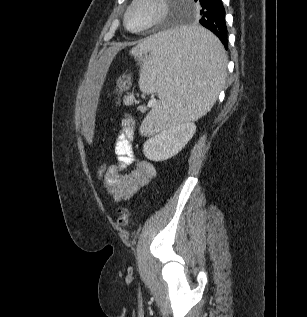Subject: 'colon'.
Masks as SVG:
<instances>
[{"label":"colon","instance_id":"colon-1","mask_svg":"<svg viewBox=\"0 0 307 317\" xmlns=\"http://www.w3.org/2000/svg\"><path fill=\"white\" fill-rule=\"evenodd\" d=\"M107 168H108V165L105 162L99 161L97 163V166H96L97 177L103 178L106 174ZM128 222H129V212H128L127 208H125L123 206L118 207V209H117V224L120 227H126Z\"/></svg>","mask_w":307,"mask_h":317}]
</instances>
